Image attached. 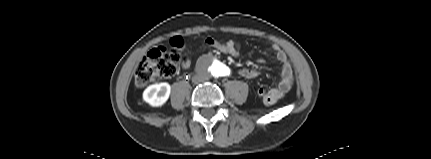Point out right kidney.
I'll return each instance as SVG.
<instances>
[{
    "instance_id": "obj_1",
    "label": "right kidney",
    "mask_w": 431,
    "mask_h": 159,
    "mask_svg": "<svg viewBox=\"0 0 431 159\" xmlns=\"http://www.w3.org/2000/svg\"><path fill=\"white\" fill-rule=\"evenodd\" d=\"M171 86L164 82L148 86L143 92V100L153 107L162 106L169 98Z\"/></svg>"
}]
</instances>
